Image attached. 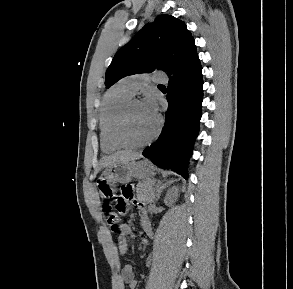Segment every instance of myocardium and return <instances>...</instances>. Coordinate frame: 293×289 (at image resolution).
<instances>
[{"label": "myocardium", "instance_id": "obj_1", "mask_svg": "<svg viewBox=\"0 0 293 289\" xmlns=\"http://www.w3.org/2000/svg\"><path fill=\"white\" fill-rule=\"evenodd\" d=\"M142 103L141 100L137 98H131L129 101H127L124 106L121 108L115 124H114V132H113V137L115 142L122 148L126 149H141L144 148L148 145H150L159 135L161 128H162V121L159 117H157V125L156 128L153 132V134L144 142L141 143H134L131 142L125 133V125H126V120L128 117V114L131 110V108L135 104Z\"/></svg>", "mask_w": 293, "mask_h": 289}]
</instances>
